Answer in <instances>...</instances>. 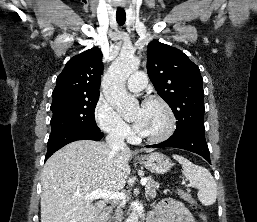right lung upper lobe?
Wrapping results in <instances>:
<instances>
[{
  "instance_id": "right-lung-upper-lobe-1",
  "label": "right lung upper lobe",
  "mask_w": 257,
  "mask_h": 222,
  "mask_svg": "<svg viewBox=\"0 0 257 222\" xmlns=\"http://www.w3.org/2000/svg\"><path fill=\"white\" fill-rule=\"evenodd\" d=\"M102 71V52L97 47L72 57L56 79L53 101L99 95Z\"/></svg>"
}]
</instances>
